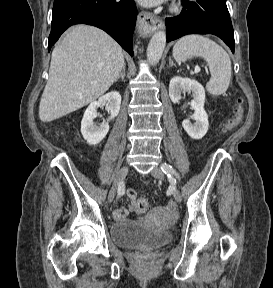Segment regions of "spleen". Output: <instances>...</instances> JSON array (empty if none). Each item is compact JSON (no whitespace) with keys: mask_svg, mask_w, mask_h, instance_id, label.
<instances>
[{"mask_svg":"<svg viewBox=\"0 0 273 288\" xmlns=\"http://www.w3.org/2000/svg\"><path fill=\"white\" fill-rule=\"evenodd\" d=\"M173 57L178 63L193 57L203 58L209 66L210 80L206 84L212 95H221L231 80V60L228 53L213 40L197 34L180 38L173 47Z\"/></svg>","mask_w":273,"mask_h":288,"instance_id":"obj_1","label":"spleen"}]
</instances>
